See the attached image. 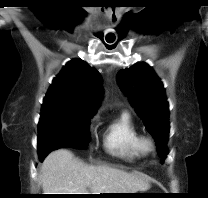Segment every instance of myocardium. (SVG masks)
Segmentation results:
<instances>
[{
    "instance_id": "myocardium-1",
    "label": "myocardium",
    "mask_w": 208,
    "mask_h": 198,
    "mask_svg": "<svg viewBox=\"0 0 208 198\" xmlns=\"http://www.w3.org/2000/svg\"><path fill=\"white\" fill-rule=\"evenodd\" d=\"M153 141L145 136H140L138 140V149L142 155H147L153 151Z\"/></svg>"
}]
</instances>
